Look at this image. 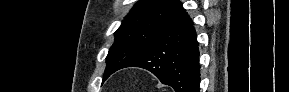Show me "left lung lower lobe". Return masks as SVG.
<instances>
[{
    "mask_svg": "<svg viewBox=\"0 0 289 92\" xmlns=\"http://www.w3.org/2000/svg\"><path fill=\"white\" fill-rule=\"evenodd\" d=\"M132 66L149 70L175 92H199V49L188 13L122 68Z\"/></svg>",
    "mask_w": 289,
    "mask_h": 92,
    "instance_id": "1",
    "label": "left lung lower lobe"
}]
</instances>
